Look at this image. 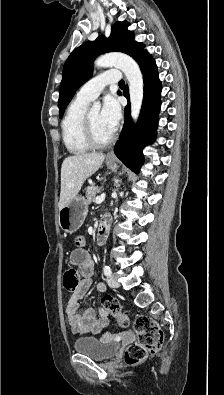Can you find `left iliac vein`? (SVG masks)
<instances>
[{"label":"left iliac vein","mask_w":224,"mask_h":395,"mask_svg":"<svg viewBox=\"0 0 224 395\" xmlns=\"http://www.w3.org/2000/svg\"><path fill=\"white\" fill-rule=\"evenodd\" d=\"M107 284L111 287V288H117L119 287V282L117 280V277L114 275H110L107 277Z\"/></svg>","instance_id":"left-iliac-vein-1"}]
</instances>
